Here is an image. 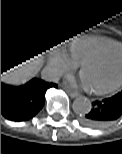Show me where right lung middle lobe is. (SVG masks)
I'll return each instance as SVG.
<instances>
[{
  "label": "right lung middle lobe",
  "mask_w": 122,
  "mask_h": 154,
  "mask_svg": "<svg viewBox=\"0 0 122 154\" xmlns=\"http://www.w3.org/2000/svg\"><path fill=\"white\" fill-rule=\"evenodd\" d=\"M22 27H24L29 33H31L35 38L40 39V43L43 45L49 40L48 30L45 25L41 23L31 22V23H19Z\"/></svg>",
  "instance_id": "1"
}]
</instances>
